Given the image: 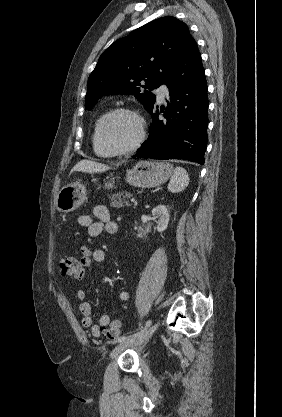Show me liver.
Wrapping results in <instances>:
<instances>
[{"label":"liver","mask_w":282,"mask_h":417,"mask_svg":"<svg viewBox=\"0 0 282 417\" xmlns=\"http://www.w3.org/2000/svg\"><path fill=\"white\" fill-rule=\"evenodd\" d=\"M111 166L108 164H102V162H95V160H79L73 168L70 170L74 172V170H81V172H104V170H108Z\"/></svg>","instance_id":"liver-1"}]
</instances>
